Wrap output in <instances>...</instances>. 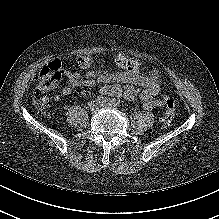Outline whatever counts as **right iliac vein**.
<instances>
[{
	"label": "right iliac vein",
	"mask_w": 219,
	"mask_h": 219,
	"mask_svg": "<svg viewBox=\"0 0 219 219\" xmlns=\"http://www.w3.org/2000/svg\"><path fill=\"white\" fill-rule=\"evenodd\" d=\"M98 109H99V105L92 106V108H91V114H96L97 111H98Z\"/></svg>",
	"instance_id": "63e3f726"
}]
</instances>
